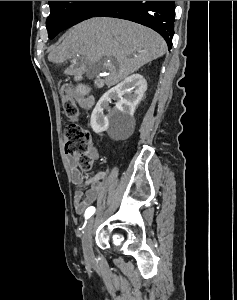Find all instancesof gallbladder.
<instances>
[{"instance_id":"1","label":"gallbladder","mask_w":237,"mask_h":300,"mask_svg":"<svg viewBox=\"0 0 237 300\" xmlns=\"http://www.w3.org/2000/svg\"><path fill=\"white\" fill-rule=\"evenodd\" d=\"M84 91H85V90L83 89V87H79V88L77 89V92H78L79 94H82ZM87 91H88V90H87Z\"/></svg>"}]
</instances>
